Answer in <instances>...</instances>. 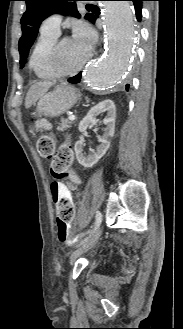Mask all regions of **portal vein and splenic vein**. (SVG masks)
<instances>
[{"mask_svg":"<svg viewBox=\"0 0 183 329\" xmlns=\"http://www.w3.org/2000/svg\"><path fill=\"white\" fill-rule=\"evenodd\" d=\"M69 120H71V121L75 120V116L74 115H69Z\"/></svg>","mask_w":183,"mask_h":329,"instance_id":"obj_1","label":"portal vein and splenic vein"}]
</instances>
